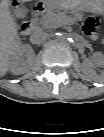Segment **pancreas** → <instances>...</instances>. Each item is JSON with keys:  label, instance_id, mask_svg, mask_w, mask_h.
<instances>
[{"label": "pancreas", "instance_id": "cf45deb5", "mask_svg": "<svg viewBox=\"0 0 104 137\" xmlns=\"http://www.w3.org/2000/svg\"><path fill=\"white\" fill-rule=\"evenodd\" d=\"M66 18V14L64 12H49L41 18L40 24L44 28H58L65 25Z\"/></svg>", "mask_w": 104, "mask_h": 137}]
</instances>
